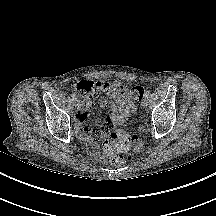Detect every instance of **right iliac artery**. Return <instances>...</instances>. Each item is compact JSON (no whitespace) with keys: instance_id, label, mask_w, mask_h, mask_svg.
<instances>
[{"instance_id":"obj_1","label":"right iliac artery","mask_w":216,"mask_h":216,"mask_svg":"<svg viewBox=\"0 0 216 216\" xmlns=\"http://www.w3.org/2000/svg\"><path fill=\"white\" fill-rule=\"evenodd\" d=\"M71 97H72L73 100L77 99V96H76V94H74V93L71 94Z\"/></svg>"}]
</instances>
